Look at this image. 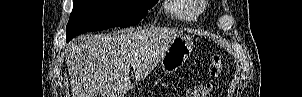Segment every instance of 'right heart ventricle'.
<instances>
[{
  "label": "right heart ventricle",
  "instance_id": "e07e8e85",
  "mask_svg": "<svg viewBox=\"0 0 302 97\" xmlns=\"http://www.w3.org/2000/svg\"><path fill=\"white\" fill-rule=\"evenodd\" d=\"M190 4V0H171L166 5V12L179 21L194 22L197 18L196 9Z\"/></svg>",
  "mask_w": 302,
  "mask_h": 97
}]
</instances>
